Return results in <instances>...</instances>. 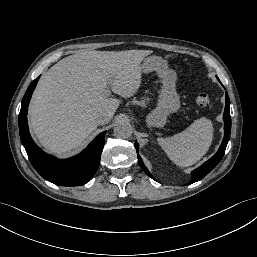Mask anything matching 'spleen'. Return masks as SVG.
I'll list each match as a JSON object with an SVG mask.
<instances>
[{
	"instance_id": "3e777b00",
	"label": "spleen",
	"mask_w": 257,
	"mask_h": 257,
	"mask_svg": "<svg viewBox=\"0 0 257 257\" xmlns=\"http://www.w3.org/2000/svg\"><path fill=\"white\" fill-rule=\"evenodd\" d=\"M212 140L213 123L202 117L181 133L161 138L159 144L176 165L188 167L197 163L207 153Z\"/></svg>"
}]
</instances>
